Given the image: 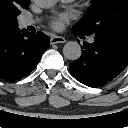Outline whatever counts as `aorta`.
I'll return each mask as SVG.
<instances>
[{
    "instance_id": "1",
    "label": "aorta",
    "mask_w": 128,
    "mask_h": 128,
    "mask_svg": "<svg viewBox=\"0 0 128 128\" xmlns=\"http://www.w3.org/2000/svg\"><path fill=\"white\" fill-rule=\"evenodd\" d=\"M58 0H35L41 8H50L57 3ZM82 54L81 47L76 41H69L63 47V55L68 60L75 61Z\"/></svg>"
}]
</instances>
